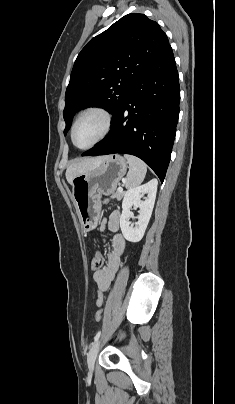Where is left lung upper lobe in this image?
Wrapping results in <instances>:
<instances>
[{
  "label": "left lung upper lobe",
  "instance_id": "5c2ea615",
  "mask_svg": "<svg viewBox=\"0 0 235 404\" xmlns=\"http://www.w3.org/2000/svg\"><path fill=\"white\" fill-rule=\"evenodd\" d=\"M169 46L159 24L144 14L123 16L79 53L65 94L64 133L76 111L99 106L113 114L132 87Z\"/></svg>",
  "mask_w": 235,
  "mask_h": 404
}]
</instances>
